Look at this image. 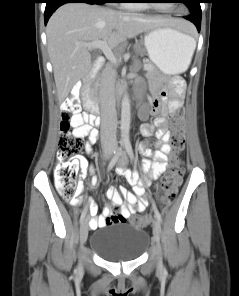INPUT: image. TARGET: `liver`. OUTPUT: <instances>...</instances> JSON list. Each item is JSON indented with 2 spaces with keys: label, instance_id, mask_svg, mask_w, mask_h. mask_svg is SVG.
Segmentation results:
<instances>
[{
  "label": "liver",
  "instance_id": "obj_1",
  "mask_svg": "<svg viewBox=\"0 0 239 296\" xmlns=\"http://www.w3.org/2000/svg\"><path fill=\"white\" fill-rule=\"evenodd\" d=\"M185 25L182 20L122 12L99 5H62L53 13L46 28L58 99L63 101L72 87L92 70L91 54L82 44L105 40L110 48H115L128 38L158 27Z\"/></svg>",
  "mask_w": 239,
  "mask_h": 296
}]
</instances>
